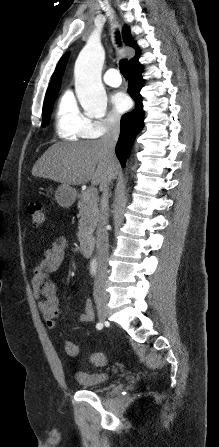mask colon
Masks as SVG:
<instances>
[{"mask_svg": "<svg viewBox=\"0 0 219 447\" xmlns=\"http://www.w3.org/2000/svg\"><path fill=\"white\" fill-rule=\"evenodd\" d=\"M30 222L33 227H39L45 222L44 205L40 201H33L28 206ZM66 353L71 357H76L79 354L77 345L70 341H66L64 345ZM89 361L97 366H104L107 358L103 353H93L89 356Z\"/></svg>", "mask_w": 219, "mask_h": 447, "instance_id": "colon-1", "label": "colon"}]
</instances>
